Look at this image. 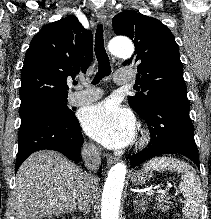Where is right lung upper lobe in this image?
Wrapping results in <instances>:
<instances>
[{
	"label": "right lung upper lobe",
	"instance_id": "obj_1",
	"mask_svg": "<svg viewBox=\"0 0 211 219\" xmlns=\"http://www.w3.org/2000/svg\"><path fill=\"white\" fill-rule=\"evenodd\" d=\"M93 36L75 16L45 25L32 39L21 71V103L67 98V80L85 73L93 59Z\"/></svg>",
	"mask_w": 211,
	"mask_h": 219
}]
</instances>
